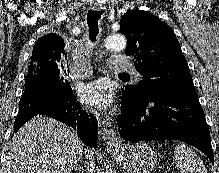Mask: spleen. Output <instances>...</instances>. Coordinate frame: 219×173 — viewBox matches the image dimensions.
<instances>
[{
  "mask_svg": "<svg viewBox=\"0 0 219 173\" xmlns=\"http://www.w3.org/2000/svg\"><path fill=\"white\" fill-rule=\"evenodd\" d=\"M174 163L180 173H207L200 158L185 144L175 145Z\"/></svg>",
  "mask_w": 219,
  "mask_h": 173,
  "instance_id": "1",
  "label": "spleen"
}]
</instances>
